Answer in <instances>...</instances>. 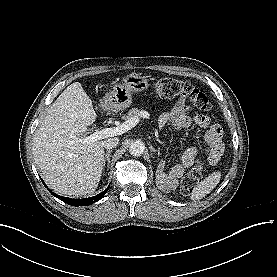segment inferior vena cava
Returning a JSON list of instances; mask_svg holds the SVG:
<instances>
[{
	"mask_svg": "<svg viewBox=\"0 0 277 277\" xmlns=\"http://www.w3.org/2000/svg\"><path fill=\"white\" fill-rule=\"evenodd\" d=\"M118 143H119V139L117 137H111L104 141V147L110 150L116 147Z\"/></svg>",
	"mask_w": 277,
	"mask_h": 277,
	"instance_id": "1",
	"label": "inferior vena cava"
}]
</instances>
